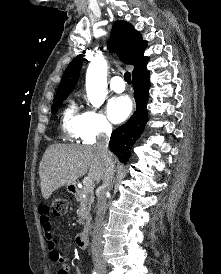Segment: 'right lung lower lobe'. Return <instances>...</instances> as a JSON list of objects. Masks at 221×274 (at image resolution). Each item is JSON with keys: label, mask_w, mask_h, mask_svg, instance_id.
<instances>
[{"label": "right lung lower lobe", "mask_w": 221, "mask_h": 274, "mask_svg": "<svg viewBox=\"0 0 221 274\" xmlns=\"http://www.w3.org/2000/svg\"><path fill=\"white\" fill-rule=\"evenodd\" d=\"M134 97L136 101V111L130 119L119 128L115 129L110 138V149L126 164L130 157L129 149L139 138L148 119L146 104L149 97L150 76L145 71L133 77Z\"/></svg>", "instance_id": "obj_1"}]
</instances>
